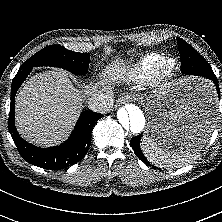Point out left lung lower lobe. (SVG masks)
Listing matches in <instances>:
<instances>
[{"label": "left lung lower lobe", "mask_w": 222, "mask_h": 222, "mask_svg": "<svg viewBox=\"0 0 222 222\" xmlns=\"http://www.w3.org/2000/svg\"><path fill=\"white\" fill-rule=\"evenodd\" d=\"M181 60H182V64H181L182 73L195 75V76H202V77L212 80L213 83L215 84L218 97L220 98V89H219L218 81H217V78L215 77V74L212 71L209 72L205 70L204 67L200 63H198L197 60L194 59V57L184 56V57H181ZM141 137H142L141 134L136 137H133L130 142L131 147L134 150L137 157L142 162H144L147 165H150L140 148Z\"/></svg>", "instance_id": "obj_1"}]
</instances>
